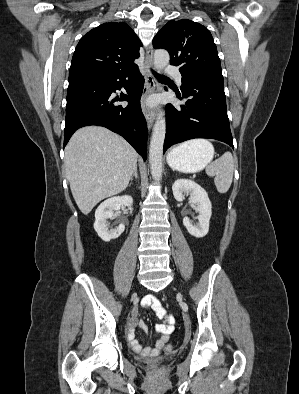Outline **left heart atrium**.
I'll use <instances>...</instances> for the list:
<instances>
[{
  "mask_svg": "<svg viewBox=\"0 0 299 394\" xmlns=\"http://www.w3.org/2000/svg\"><path fill=\"white\" fill-rule=\"evenodd\" d=\"M151 103H154V100H151Z\"/></svg>",
  "mask_w": 299,
  "mask_h": 394,
  "instance_id": "obj_1",
  "label": "left heart atrium"
}]
</instances>
